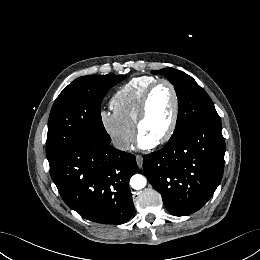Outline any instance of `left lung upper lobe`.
Here are the masks:
<instances>
[{
  "label": "left lung upper lobe",
  "instance_id": "left-lung-upper-lobe-1",
  "mask_svg": "<svg viewBox=\"0 0 260 260\" xmlns=\"http://www.w3.org/2000/svg\"><path fill=\"white\" fill-rule=\"evenodd\" d=\"M152 73L163 74L174 85L177 93L178 118L175 131L169 141L175 140L197 123L220 119L208 94L191 76L172 68H164Z\"/></svg>",
  "mask_w": 260,
  "mask_h": 260
}]
</instances>
